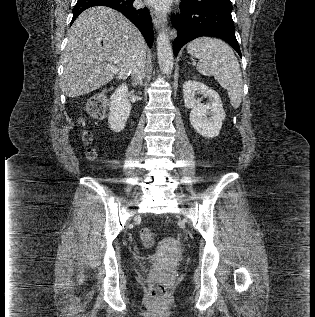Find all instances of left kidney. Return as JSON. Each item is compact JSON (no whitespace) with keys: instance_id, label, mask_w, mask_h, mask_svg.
<instances>
[{"instance_id":"obj_1","label":"left kidney","mask_w":315,"mask_h":317,"mask_svg":"<svg viewBox=\"0 0 315 317\" xmlns=\"http://www.w3.org/2000/svg\"><path fill=\"white\" fill-rule=\"evenodd\" d=\"M197 94L208 97L209 102L201 104ZM183 97L185 107L191 109L190 123L197 133L207 138L216 137L226 116L219 94L203 83L189 80L183 84Z\"/></svg>"}]
</instances>
